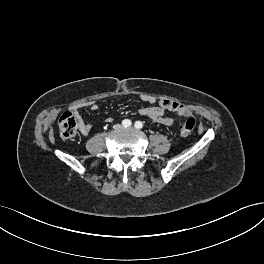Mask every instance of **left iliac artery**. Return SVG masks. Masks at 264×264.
I'll list each match as a JSON object with an SVG mask.
<instances>
[{
	"label": "left iliac artery",
	"instance_id": "1",
	"mask_svg": "<svg viewBox=\"0 0 264 264\" xmlns=\"http://www.w3.org/2000/svg\"><path fill=\"white\" fill-rule=\"evenodd\" d=\"M135 128L141 129L143 127V123L141 121H136L134 124Z\"/></svg>",
	"mask_w": 264,
	"mask_h": 264
}]
</instances>
